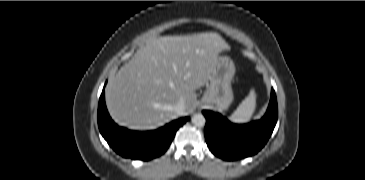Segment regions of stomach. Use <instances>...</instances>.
<instances>
[{
	"mask_svg": "<svg viewBox=\"0 0 365 180\" xmlns=\"http://www.w3.org/2000/svg\"><path fill=\"white\" fill-rule=\"evenodd\" d=\"M234 75L233 61L227 56H218L201 102L215 105L220 111L227 110L234 98L231 88Z\"/></svg>",
	"mask_w": 365,
	"mask_h": 180,
	"instance_id": "obj_1",
	"label": "stomach"
}]
</instances>
